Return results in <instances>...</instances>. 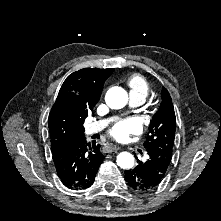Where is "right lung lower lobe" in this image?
<instances>
[{"instance_id":"98d812e1","label":"right lung lower lobe","mask_w":221,"mask_h":221,"mask_svg":"<svg viewBox=\"0 0 221 221\" xmlns=\"http://www.w3.org/2000/svg\"><path fill=\"white\" fill-rule=\"evenodd\" d=\"M85 139L84 135L79 136L52 151L58 177L71 189L89 188L104 159L100 145Z\"/></svg>"}]
</instances>
